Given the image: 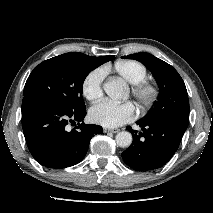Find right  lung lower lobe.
I'll list each match as a JSON object with an SVG mask.
<instances>
[{
  "label": "right lung lower lobe",
  "mask_w": 213,
  "mask_h": 213,
  "mask_svg": "<svg viewBox=\"0 0 213 213\" xmlns=\"http://www.w3.org/2000/svg\"><path fill=\"white\" fill-rule=\"evenodd\" d=\"M85 115L86 109L70 112L41 96H24L23 133L33 158L53 169L79 163L86 155L91 138L103 132L101 126L82 122ZM76 122L79 126L68 131L67 124Z\"/></svg>",
  "instance_id": "1"
}]
</instances>
